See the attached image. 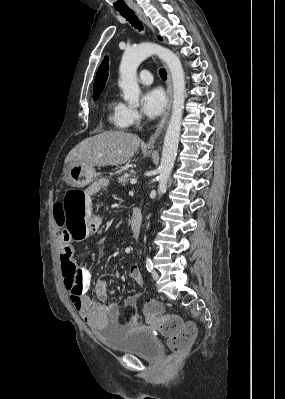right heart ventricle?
Wrapping results in <instances>:
<instances>
[{"instance_id": "obj_1", "label": "right heart ventricle", "mask_w": 285, "mask_h": 399, "mask_svg": "<svg viewBox=\"0 0 285 399\" xmlns=\"http://www.w3.org/2000/svg\"><path fill=\"white\" fill-rule=\"evenodd\" d=\"M107 107L110 123L118 130L127 129V106L116 98H111Z\"/></svg>"}]
</instances>
